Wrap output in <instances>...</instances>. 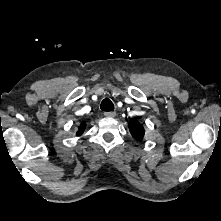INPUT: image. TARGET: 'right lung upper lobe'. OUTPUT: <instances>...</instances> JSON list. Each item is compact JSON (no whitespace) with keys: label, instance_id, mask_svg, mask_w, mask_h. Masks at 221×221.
<instances>
[{"label":"right lung upper lobe","instance_id":"obj_1","mask_svg":"<svg viewBox=\"0 0 221 221\" xmlns=\"http://www.w3.org/2000/svg\"><path fill=\"white\" fill-rule=\"evenodd\" d=\"M85 127H86L85 122H82L81 125H80V127H79V130L77 131V135H78V136L82 135V133H83L84 130H85Z\"/></svg>","mask_w":221,"mask_h":221}]
</instances>
